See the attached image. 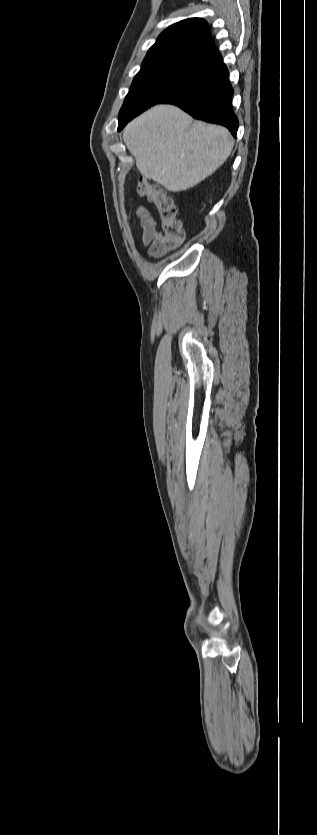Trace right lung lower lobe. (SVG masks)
<instances>
[{
  "instance_id": "right-lung-lower-lobe-1",
  "label": "right lung lower lobe",
  "mask_w": 317,
  "mask_h": 835,
  "mask_svg": "<svg viewBox=\"0 0 317 835\" xmlns=\"http://www.w3.org/2000/svg\"><path fill=\"white\" fill-rule=\"evenodd\" d=\"M190 59L196 69L206 76V80L170 96L162 103L177 105L195 119L222 125L236 137L239 122L231 105L233 89L219 52L213 51Z\"/></svg>"
}]
</instances>
